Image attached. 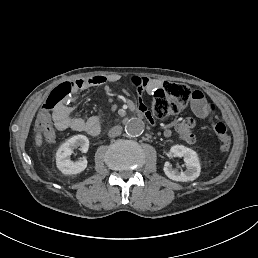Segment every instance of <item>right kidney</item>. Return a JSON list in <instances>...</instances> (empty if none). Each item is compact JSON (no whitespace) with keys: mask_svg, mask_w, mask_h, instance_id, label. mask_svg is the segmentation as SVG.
Here are the masks:
<instances>
[{"mask_svg":"<svg viewBox=\"0 0 258 258\" xmlns=\"http://www.w3.org/2000/svg\"><path fill=\"white\" fill-rule=\"evenodd\" d=\"M80 147L81 152L86 153L89 148V139L85 135H75L63 143L56 152V165L63 174H78L87 167L86 157L78 161L70 159L75 148Z\"/></svg>","mask_w":258,"mask_h":258,"instance_id":"right-kidney-1","label":"right kidney"}]
</instances>
